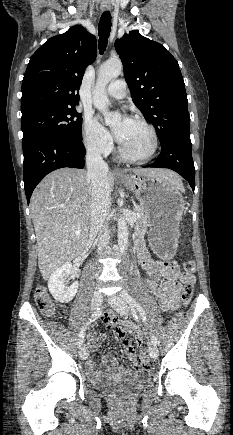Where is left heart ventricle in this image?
Masks as SVG:
<instances>
[{
    "label": "left heart ventricle",
    "mask_w": 233,
    "mask_h": 435,
    "mask_svg": "<svg viewBox=\"0 0 233 435\" xmlns=\"http://www.w3.org/2000/svg\"><path fill=\"white\" fill-rule=\"evenodd\" d=\"M119 123L120 121L115 124L114 129ZM120 144L129 155L139 157L150 150L152 138L144 125L130 120L124 128Z\"/></svg>",
    "instance_id": "b2bd125f"
}]
</instances>
